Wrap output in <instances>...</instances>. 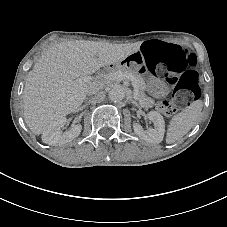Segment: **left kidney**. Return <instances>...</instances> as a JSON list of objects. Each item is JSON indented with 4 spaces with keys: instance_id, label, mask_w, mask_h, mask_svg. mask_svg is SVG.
<instances>
[{
    "instance_id": "1",
    "label": "left kidney",
    "mask_w": 227,
    "mask_h": 227,
    "mask_svg": "<svg viewBox=\"0 0 227 227\" xmlns=\"http://www.w3.org/2000/svg\"><path fill=\"white\" fill-rule=\"evenodd\" d=\"M148 118L154 123V128L144 129L141 124L134 123L135 133L148 143H160L165 134V120L158 111H150Z\"/></svg>"
}]
</instances>
